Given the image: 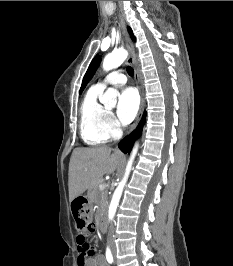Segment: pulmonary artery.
<instances>
[{
	"label": "pulmonary artery",
	"mask_w": 233,
	"mask_h": 266,
	"mask_svg": "<svg viewBox=\"0 0 233 266\" xmlns=\"http://www.w3.org/2000/svg\"><path fill=\"white\" fill-rule=\"evenodd\" d=\"M127 82V77L122 71H113L104 79L99 81L96 86L104 89L108 85H123Z\"/></svg>",
	"instance_id": "obj_1"
}]
</instances>
